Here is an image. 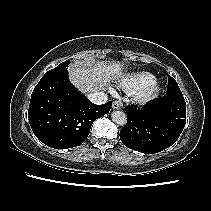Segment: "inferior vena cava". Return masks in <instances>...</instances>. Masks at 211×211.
<instances>
[{"mask_svg": "<svg viewBox=\"0 0 211 211\" xmlns=\"http://www.w3.org/2000/svg\"><path fill=\"white\" fill-rule=\"evenodd\" d=\"M88 99L94 104H104L107 102V95L104 92H94L88 95Z\"/></svg>", "mask_w": 211, "mask_h": 211, "instance_id": "inferior-vena-cava-1", "label": "inferior vena cava"}]
</instances>
